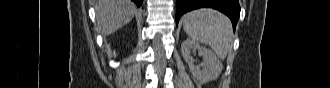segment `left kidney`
I'll list each match as a JSON object with an SVG mask.
<instances>
[{"instance_id":"obj_1","label":"left kidney","mask_w":330,"mask_h":88,"mask_svg":"<svg viewBox=\"0 0 330 88\" xmlns=\"http://www.w3.org/2000/svg\"><path fill=\"white\" fill-rule=\"evenodd\" d=\"M191 49L198 50L199 56L203 57V62L199 66H195L193 63V58L190 56ZM181 53L184 60L188 63L191 73L201 83L216 80L223 69L221 61L210 49L202 47L191 39L183 41Z\"/></svg>"}]
</instances>
